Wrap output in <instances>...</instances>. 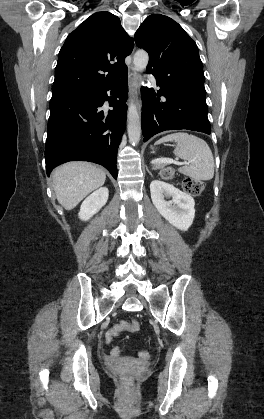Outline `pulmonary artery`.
Returning <instances> with one entry per match:
<instances>
[{
    "label": "pulmonary artery",
    "instance_id": "e3ab8cb5",
    "mask_svg": "<svg viewBox=\"0 0 264 419\" xmlns=\"http://www.w3.org/2000/svg\"><path fill=\"white\" fill-rule=\"evenodd\" d=\"M151 81L155 82L154 76H150Z\"/></svg>",
    "mask_w": 264,
    "mask_h": 419
}]
</instances>
